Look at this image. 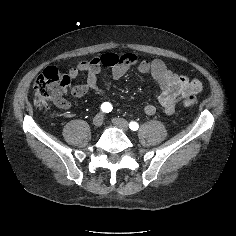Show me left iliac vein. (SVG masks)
I'll use <instances>...</instances> for the list:
<instances>
[{
    "mask_svg": "<svg viewBox=\"0 0 236 236\" xmlns=\"http://www.w3.org/2000/svg\"><path fill=\"white\" fill-rule=\"evenodd\" d=\"M112 122L116 127L120 128L123 131H127L129 129V124L125 119L113 118Z\"/></svg>",
    "mask_w": 236,
    "mask_h": 236,
    "instance_id": "4c4485c4",
    "label": "left iliac vein"
}]
</instances>
